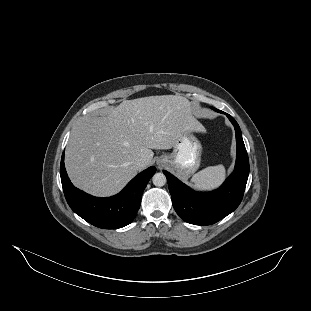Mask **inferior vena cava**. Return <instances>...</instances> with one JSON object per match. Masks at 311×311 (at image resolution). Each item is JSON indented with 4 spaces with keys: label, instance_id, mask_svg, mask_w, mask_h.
I'll use <instances>...</instances> for the list:
<instances>
[{
    "label": "inferior vena cava",
    "instance_id": "602c4592",
    "mask_svg": "<svg viewBox=\"0 0 311 311\" xmlns=\"http://www.w3.org/2000/svg\"><path fill=\"white\" fill-rule=\"evenodd\" d=\"M142 163V159L141 158H137L136 161H135V164L140 166Z\"/></svg>",
    "mask_w": 311,
    "mask_h": 311
}]
</instances>
